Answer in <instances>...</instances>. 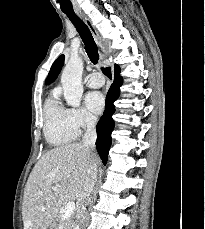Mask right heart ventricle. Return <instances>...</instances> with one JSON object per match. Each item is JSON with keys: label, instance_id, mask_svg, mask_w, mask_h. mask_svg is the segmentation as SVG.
Segmentation results:
<instances>
[{"label": "right heart ventricle", "instance_id": "right-heart-ventricle-1", "mask_svg": "<svg viewBox=\"0 0 205 229\" xmlns=\"http://www.w3.org/2000/svg\"><path fill=\"white\" fill-rule=\"evenodd\" d=\"M78 131L71 124L68 109L61 105L56 94H51L44 104V135L53 146H63L78 137Z\"/></svg>", "mask_w": 205, "mask_h": 229}]
</instances>
